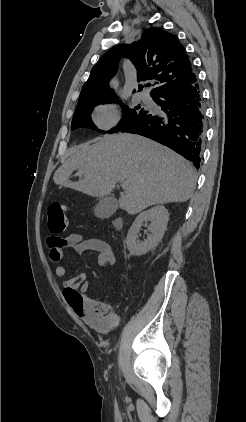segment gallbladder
Here are the masks:
<instances>
[{
  "mask_svg": "<svg viewBox=\"0 0 246 422\" xmlns=\"http://www.w3.org/2000/svg\"><path fill=\"white\" fill-rule=\"evenodd\" d=\"M118 208V201L113 196H106L99 200L95 206V215L105 219L111 217Z\"/></svg>",
  "mask_w": 246,
  "mask_h": 422,
  "instance_id": "bac80fb5",
  "label": "gallbladder"
}]
</instances>
